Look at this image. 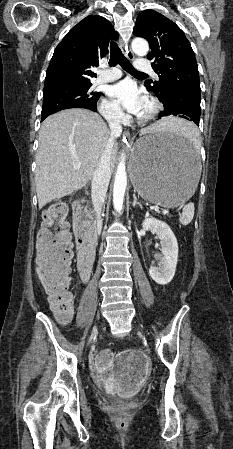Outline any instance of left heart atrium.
Segmentation results:
<instances>
[{
	"label": "left heart atrium",
	"mask_w": 233,
	"mask_h": 449,
	"mask_svg": "<svg viewBox=\"0 0 233 449\" xmlns=\"http://www.w3.org/2000/svg\"><path fill=\"white\" fill-rule=\"evenodd\" d=\"M108 94L127 112L135 115H140L147 102L146 95L129 80H124L111 86Z\"/></svg>",
	"instance_id": "39dd6f15"
}]
</instances>
